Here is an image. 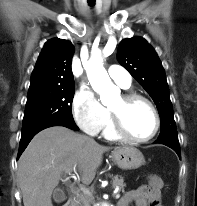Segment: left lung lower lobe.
<instances>
[{"instance_id":"left-lung-lower-lobe-1","label":"left lung lower lobe","mask_w":197,"mask_h":206,"mask_svg":"<svg viewBox=\"0 0 197 206\" xmlns=\"http://www.w3.org/2000/svg\"><path fill=\"white\" fill-rule=\"evenodd\" d=\"M154 143L164 144V145L172 148L178 154L179 158H181V151H180V145H179V141L178 140H174V139H158Z\"/></svg>"}]
</instances>
